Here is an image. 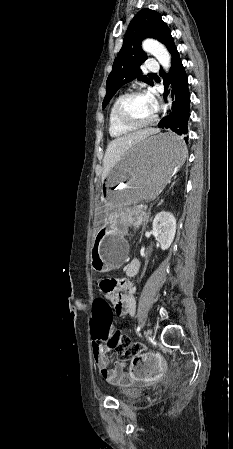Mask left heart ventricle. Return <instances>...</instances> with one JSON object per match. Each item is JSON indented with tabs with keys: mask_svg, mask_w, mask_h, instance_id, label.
<instances>
[{
	"mask_svg": "<svg viewBox=\"0 0 233 449\" xmlns=\"http://www.w3.org/2000/svg\"><path fill=\"white\" fill-rule=\"evenodd\" d=\"M155 112V107L147 95H138L128 99L123 107V115L132 122H145Z\"/></svg>",
	"mask_w": 233,
	"mask_h": 449,
	"instance_id": "b2bd125f",
	"label": "left heart ventricle"
}]
</instances>
